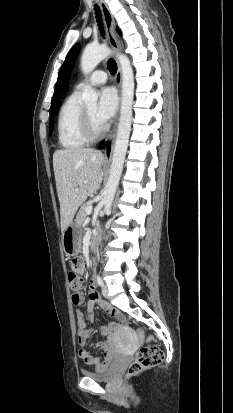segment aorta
I'll use <instances>...</instances> for the list:
<instances>
[{"instance_id":"762f6f07","label":"aorta","mask_w":233,"mask_h":413,"mask_svg":"<svg viewBox=\"0 0 233 413\" xmlns=\"http://www.w3.org/2000/svg\"><path fill=\"white\" fill-rule=\"evenodd\" d=\"M111 54V49L104 45L86 47L81 57L82 72L85 75H88L103 59ZM117 57L122 70V98L112 165L102 200L105 213L111 211L112 202L123 170L131 131L132 105L134 98V74L130 60L123 54H118ZM82 99L87 105L95 106L97 104L98 94L90 85H85L82 92Z\"/></svg>"}]
</instances>
